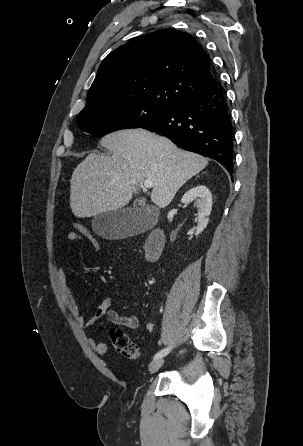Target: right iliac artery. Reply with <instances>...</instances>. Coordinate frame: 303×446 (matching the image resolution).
Wrapping results in <instances>:
<instances>
[{
	"instance_id": "1",
	"label": "right iliac artery",
	"mask_w": 303,
	"mask_h": 446,
	"mask_svg": "<svg viewBox=\"0 0 303 446\" xmlns=\"http://www.w3.org/2000/svg\"><path fill=\"white\" fill-rule=\"evenodd\" d=\"M170 350H171V347H167V348H164V349L160 350L159 352H157L154 355V360L166 356L169 353Z\"/></svg>"
}]
</instances>
